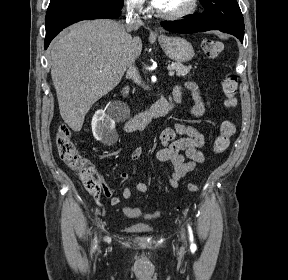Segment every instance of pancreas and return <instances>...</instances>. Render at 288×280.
<instances>
[{
	"label": "pancreas",
	"instance_id": "1",
	"mask_svg": "<svg viewBox=\"0 0 288 280\" xmlns=\"http://www.w3.org/2000/svg\"><path fill=\"white\" fill-rule=\"evenodd\" d=\"M168 67H171L173 70H176V74L179 77H185L191 70L190 66H184L181 63H172Z\"/></svg>",
	"mask_w": 288,
	"mask_h": 280
}]
</instances>
